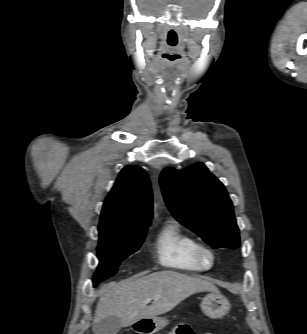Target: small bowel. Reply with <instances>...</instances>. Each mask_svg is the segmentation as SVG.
<instances>
[{"mask_svg": "<svg viewBox=\"0 0 307 334\" xmlns=\"http://www.w3.org/2000/svg\"><path fill=\"white\" fill-rule=\"evenodd\" d=\"M172 334H194L189 328L179 327L177 328ZM205 334H212V333H205Z\"/></svg>", "mask_w": 307, "mask_h": 334, "instance_id": "small-bowel-1", "label": "small bowel"}]
</instances>
